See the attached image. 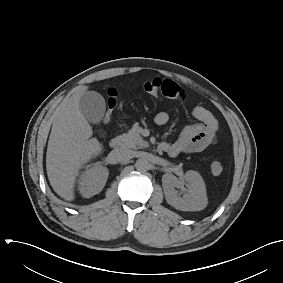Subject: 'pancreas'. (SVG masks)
<instances>
[{"instance_id": "pancreas-1", "label": "pancreas", "mask_w": 283, "mask_h": 283, "mask_svg": "<svg viewBox=\"0 0 283 283\" xmlns=\"http://www.w3.org/2000/svg\"><path fill=\"white\" fill-rule=\"evenodd\" d=\"M141 130L142 128L139 127L137 123H135L128 133L122 134L120 136L122 146L133 149H142L148 147V142L143 140L140 135Z\"/></svg>"}]
</instances>
